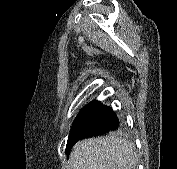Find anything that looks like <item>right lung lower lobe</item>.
Masks as SVG:
<instances>
[{"label": "right lung lower lobe", "instance_id": "obj_1", "mask_svg": "<svg viewBox=\"0 0 177 169\" xmlns=\"http://www.w3.org/2000/svg\"><path fill=\"white\" fill-rule=\"evenodd\" d=\"M119 120L114 111L98 101L85 106L77 115L68 137L66 152L79 140L116 130Z\"/></svg>", "mask_w": 177, "mask_h": 169}]
</instances>
